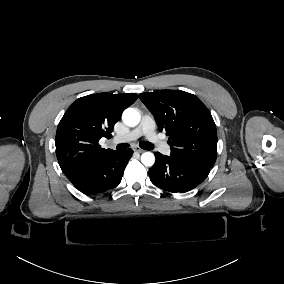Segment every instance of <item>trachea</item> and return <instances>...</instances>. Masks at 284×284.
<instances>
[{
  "label": "trachea",
  "instance_id": "1",
  "mask_svg": "<svg viewBox=\"0 0 284 284\" xmlns=\"http://www.w3.org/2000/svg\"><path fill=\"white\" fill-rule=\"evenodd\" d=\"M139 146L142 148V149H145V150H152L154 148L153 144H151L150 142L148 141H142L139 143ZM129 147V144L128 143H123V144H119L117 145V149H127Z\"/></svg>",
  "mask_w": 284,
  "mask_h": 284
}]
</instances>
